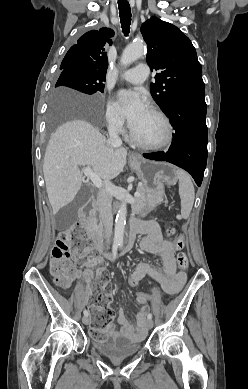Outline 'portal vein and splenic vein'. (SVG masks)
<instances>
[{
	"mask_svg": "<svg viewBox=\"0 0 248 389\" xmlns=\"http://www.w3.org/2000/svg\"><path fill=\"white\" fill-rule=\"evenodd\" d=\"M83 172H84V175L86 177H89L91 179V181L93 182V184L97 187V188H101L103 186V183H102V180L100 179V177L94 172V169L91 168V167H85L83 169ZM140 194L139 192H135L134 193V196L135 197H138Z\"/></svg>",
	"mask_w": 248,
	"mask_h": 389,
	"instance_id": "portal-vein-and-splenic-vein-1",
	"label": "portal vein and splenic vein"
}]
</instances>
